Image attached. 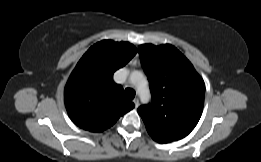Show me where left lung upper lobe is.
<instances>
[{
	"label": "left lung upper lobe",
	"mask_w": 261,
	"mask_h": 162,
	"mask_svg": "<svg viewBox=\"0 0 261 162\" xmlns=\"http://www.w3.org/2000/svg\"><path fill=\"white\" fill-rule=\"evenodd\" d=\"M152 101L138 108L146 129L159 143L187 136L198 123L205 96L203 79L190 61L170 44L138 47Z\"/></svg>",
	"instance_id": "1"
}]
</instances>
